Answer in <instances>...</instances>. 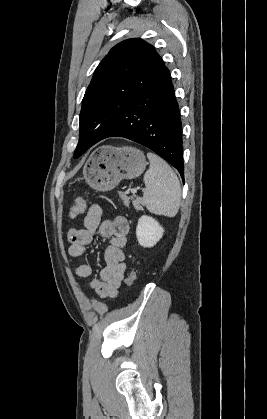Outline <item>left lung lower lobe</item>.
Returning <instances> with one entry per match:
<instances>
[{"instance_id": "1", "label": "left lung lower lobe", "mask_w": 267, "mask_h": 419, "mask_svg": "<svg viewBox=\"0 0 267 419\" xmlns=\"http://www.w3.org/2000/svg\"><path fill=\"white\" fill-rule=\"evenodd\" d=\"M108 137H124L153 150L184 179L182 124L171 75L164 65L123 112L98 126L89 148Z\"/></svg>"}]
</instances>
